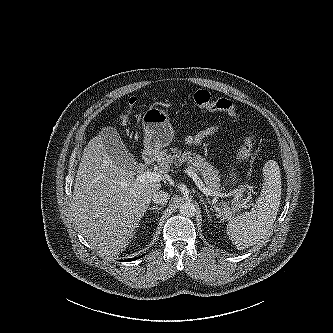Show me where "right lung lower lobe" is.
<instances>
[{"label": "right lung lower lobe", "instance_id": "obj_1", "mask_svg": "<svg viewBox=\"0 0 333 333\" xmlns=\"http://www.w3.org/2000/svg\"><path fill=\"white\" fill-rule=\"evenodd\" d=\"M137 258H140V257H136V258H130V259H128V260H125V261H132V260H135V259H137Z\"/></svg>", "mask_w": 333, "mask_h": 333}]
</instances>
